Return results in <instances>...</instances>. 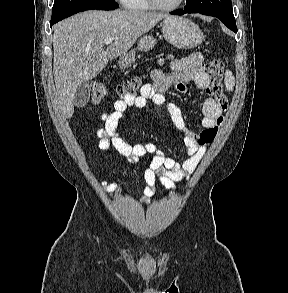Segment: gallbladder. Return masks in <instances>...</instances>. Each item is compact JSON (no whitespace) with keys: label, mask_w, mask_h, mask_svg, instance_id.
I'll return each instance as SVG.
<instances>
[{"label":"gallbladder","mask_w":288,"mask_h":293,"mask_svg":"<svg viewBox=\"0 0 288 293\" xmlns=\"http://www.w3.org/2000/svg\"><path fill=\"white\" fill-rule=\"evenodd\" d=\"M90 98V84L89 82H84L81 84L74 95L73 104L75 107H84Z\"/></svg>","instance_id":"bac80fb5"}]
</instances>
